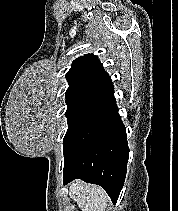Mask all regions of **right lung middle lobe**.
Wrapping results in <instances>:
<instances>
[{"label": "right lung middle lobe", "mask_w": 178, "mask_h": 211, "mask_svg": "<svg viewBox=\"0 0 178 211\" xmlns=\"http://www.w3.org/2000/svg\"><path fill=\"white\" fill-rule=\"evenodd\" d=\"M95 104L93 103H79L69 105L66 111V117L68 118V130L64 137V141L71 135L78 124L89 113Z\"/></svg>", "instance_id": "dd1d6c3e"}]
</instances>
